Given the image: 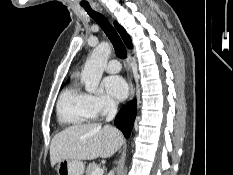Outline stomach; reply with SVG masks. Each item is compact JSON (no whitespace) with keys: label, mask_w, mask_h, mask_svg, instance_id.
Segmentation results:
<instances>
[{"label":"stomach","mask_w":233,"mask_h":175,"mask_svg":"<svg viewBox=\"0 0 233 175\" xmlns=\"http://www.w3.org/2000/svg\"><path fill=\"white\" fill-rule=\"evenodd\" d=\"M56 169L58 175H83L85 165L80 160H61Z\"/></svg>","instance_id":"obj_1"}]
</instances>
